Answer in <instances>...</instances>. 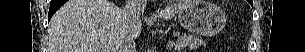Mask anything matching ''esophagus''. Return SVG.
I'll use <instances>...</instances> for the list:
<instances>
[{
    "mask_svg": "<svg viewBox=\"0 0 305 52\" xmlns=\"http://www.w3.org/2000/svg\"><path fill=\"white\" fill-rule=\"evenodd\" d=\"M154 17H155V15L153 14V15L150 16V19H152V18H154Z\"/></svg>",
    "mask_w": 305,
    "mask_h": 52,
    "instance_id": "1",
    "label": "esophagus"
}]
</instances>
